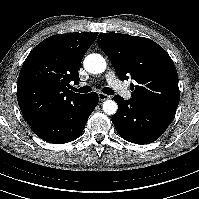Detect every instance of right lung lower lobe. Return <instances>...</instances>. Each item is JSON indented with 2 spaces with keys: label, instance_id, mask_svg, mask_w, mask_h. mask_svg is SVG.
<instances>
[{
  "label": "right lung lower lobe",
  "instance_id": "right-lung-lower-lobe-1",
  "mask_svg": "<svg viewBox=\"0 0 199 199\" xmlns=\"http://www.w3.org/2000/svg\"><path fill=\"white\" fill-rule=\"evenodd\" d=\"M98 101L97 93L85 94L76 104L63 109L44 121L30 125V127L38 137L46 142L68 143L81 135Z\"/></svg>",
  "mask_w": 199,
  "mask_h": 199
}]
</instances>
